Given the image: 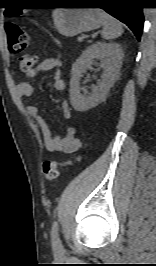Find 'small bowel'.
I'll return each instance as SVG.
<instances>
[{"label":"small bowel","instance_id":"c3829d8e","mask_svg":"<svg viewBox=\"0 0 156 266\" xmlns=\"http://www.w3.org/2000/svg\"><path fill=\"white\" fill-rule=\"evenodd\" d=\"M61 60L58 57L47 58L43 60L36 68L26 72V78L30 79L40 71H54L53 87L56 91L62 92L65 89V82L60 76L59 68ZM33 86L28 81H23L17 85V94L21 98H29L33 95ZM62 116L65 120H70L71 108L66 100L61 103ZM28 115L33 118L41 127L44 147L49 152H61L63 154H72L81 147V141L75 136V130L68 127L65 135L53 134L45 119L41 116L38 107L30 105L27 107Z\"/></svg>","mask_w":156,"mask_h":266}]
</instances>
